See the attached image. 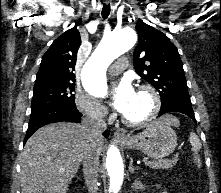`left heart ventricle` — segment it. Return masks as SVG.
<instances>
[{"instance_id": "1", "label": "left heart ventricle", "mask_w": 221, "mask_h": 193, "mask_svg": "<svg viewBox=\"0 0 221 193\" xmlns=\"http://www.w3.org/2000/svg\"><path fill=\"white\" fill-rule=\"evenodd\" d=\"M150 109V96L146 93L136 92L132 105L124 115L130 119H141L147 115Z\"/></svg>"}]
</instances>
